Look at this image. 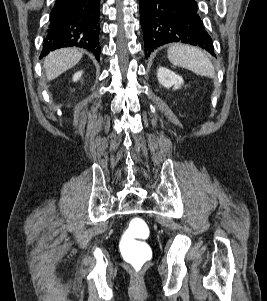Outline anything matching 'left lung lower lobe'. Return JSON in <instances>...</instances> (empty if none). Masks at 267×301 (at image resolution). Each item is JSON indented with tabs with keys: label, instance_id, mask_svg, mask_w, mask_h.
I'll return each mask as SVG.
<instances>
[{
	"label": "left lung lower lobe",
	"instance_id": "1",
	"mask_svg": "<svg viewBox=\"0 0 267 301\" xmlns=\"http://www.w3.org/2000/svg\"><path fill=\"white\" fill-rule=\"evenodd\" d=\"M197 9L195 0H140L146 58L157 47L171 42L196 45L214 56L212 40Z\"/></svg>",
	"mask_w": 267,
	"mask_h": 301
}]
</instances>
